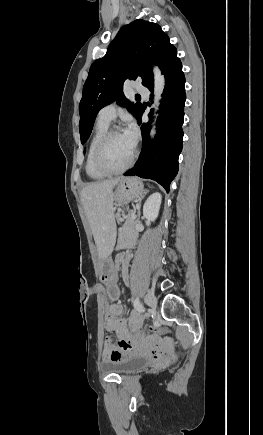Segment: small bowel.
<instances>
[{
  "instance_id": "c3829d8e",
  "label": "small bowel",
  "mask_w": 263,
  "mask_h": 435,
  "mask_svg": "<svg viewBox=\"0 0 263 435\" xmlns=\"http://www.w3.org/2000/svg\"><path fill=\"white\" fill-rule=\"evenodd\" d=\"M133 243V237L124 239V244L128 246ZM129 261L130 256L125 252L118 253L114 260V266L120 268L125 283L129 282ZM122 313L121 304L107 305L105 328L109 332H114L119 341H115V336H110L113 339V348L102 351L104 362L121 360L128 355H141L143 352L145 356H150L155 364H165L166 361H175L178 358V355L169 349L172 348V343L161 341L163 339L161 332L145 334L142 331L143 317L141 314L134 312L128 319H125Z\"/></svg>"
}]
</instances>
